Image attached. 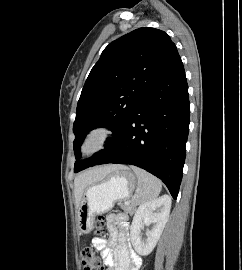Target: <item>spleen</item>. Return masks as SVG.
Instances as JSON below:
<instances>
[{"label": "spleen", "instance_id": "1", "mask_svg": "<svg viewBox=\"0 0 242 270\" xmlns=\"http://www.w3.org/2000/svg\"><path fill=\"white\" fill-rule=\"evenodd\" d=\"M132 170L137 176V189L132 197V202L136 205L156 199L161 192L162 184L159 179L143 169L133 166Z\"/></svg>", "mask_w": 242, "mask_h": 270}]
</instances>
